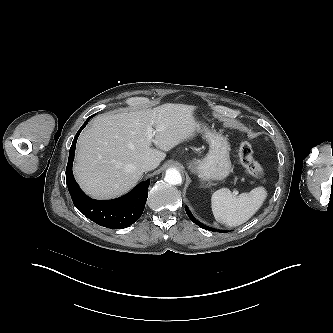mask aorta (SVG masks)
Segmentation results:
<instances>
[{"instance_id": "762f6f07", "label": "aorta", "mask_w": 333, "mask_h": 333, "mask_svg": "<svg viewBox=\"0 0 333 333\" xmlns=\"http://www.w3.org/2000/svg\"><path fill=\"white\" fill-rule=\"evenodd\" d=\"M164 180L171 185H178L182 182V177L177 169L170 168L166 170Z\"/></svg>"}]
</instances>
